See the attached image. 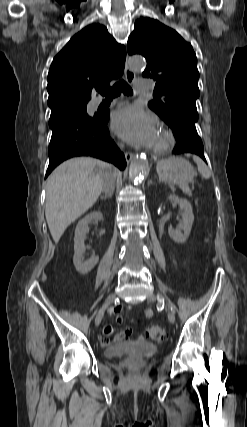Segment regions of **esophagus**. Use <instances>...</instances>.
I'll use <instances>...</instances> for the list:
<instances>
[{"label":"esophagus","instance_id":"obj_1","mask_svg":"<svg viewBox=\"0 0 247 427\" xmlns=\"http://www.w3.org/2000/svg\"><path fill=\"white\" fill-rule=\"evenodd\" d=\"M124 74L126 77V81L129 84H132L135 80V73L130 69V67L128 65V58L126 59ZM125 158H126L127 163H129L134 158V154L131 152H126Z\"/></svg>","mask_w":247,"mask_h":427}]
</instances>
